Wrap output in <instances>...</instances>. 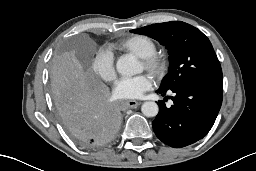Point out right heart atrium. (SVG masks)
Returning a JSON list of instances; mask_svg holds the SVG:
<instances>
[{"label": "right heart atrium", "instance_id": "obj_1", "mask_svg": "<svg viewBox=\"0 0 256 171\" xmlns=\"http://www.w3.org/2000/svg\"><path fill=\"white\" fill-rule=\"evenodd\" d=\"M93 72L105 81H113L116 77L115 59L111 52L100 50L92 61Z\"/></svg>", "mask_w": 256, "mask_h": 171}]
</instances>
